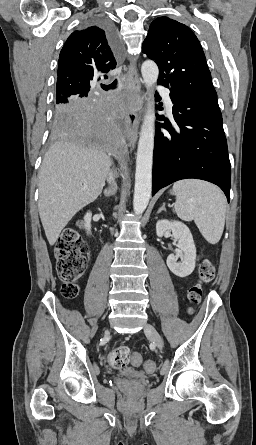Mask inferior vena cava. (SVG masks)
Listing matches in <instances>:
<instances>
[{"label":"inferior vena cava","instance_id":"inferior-vena-cava-1","mask_svg":"<svg viewBox=\"0 0 256 445\" xmlns=\"http://www.w3.org/2000/svg\"><path fill=\"white\" fill-rule=\"evenodd\" d=\"M107 181L109 183H111V182L113 183L114 182V178H113V173L112 172L108 173Z\"/></svg>","mask_w":256,"mask_h":445}]
</instances>
